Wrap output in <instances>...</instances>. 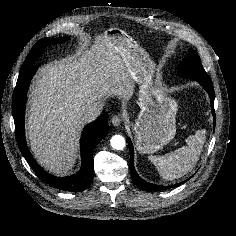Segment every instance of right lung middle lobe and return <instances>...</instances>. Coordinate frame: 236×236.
<instances>
[{
	"instance_id": "right-lung-middle-lobe-1",
	"label": "right lung middle lobe",
	"mask_w": 236,
	"mask_h": 236,
	"mask_svg": "<svg viewBox=\"0 0 236 236\" xmlns=\"http://www.w3.org/2000/svg\"><path fill=\"white\" fill-rule=\"evenodd\" d=\"M67 38H56V39H49V38H43L39 40L33 48L30 50L29 54L27 55L24 64L21 67V70L25 69L26 67L33 64L35 60L41 55L44 48L51 44H57V43H63L67 41ZM20 70V71H21Z\"/></svg>"
}]
</instances>
